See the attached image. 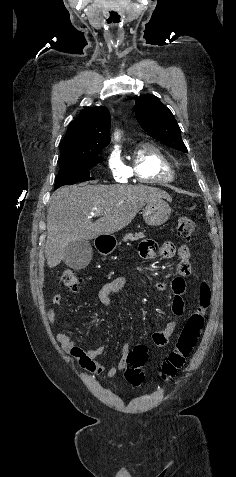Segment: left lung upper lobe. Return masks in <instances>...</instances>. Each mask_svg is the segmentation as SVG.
Listing matches in <instances>:
<instances>
[{
  "mask_svg": "<svg viewBox=\"0 0 236 477\" xmlns=\"http://www.w3.org/2000/svg\"><path fill=\"white\" fill-rule=\"evenodd\" d=\"M135 114L140 126L149 136L171 148L187 153L176 119L156 96L139 97L135 104Z\"/></svg>",
  "mask_w": 236,
  "mask_h": 477,
  "instance_id": "left-lung-upper-lobe-1",
  "label": "left lung upper lobe"
}]
</instances>
